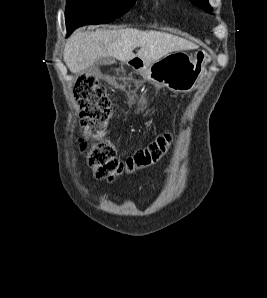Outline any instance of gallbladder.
<instances>
[{
  "mask_svg": "<svg viewBox=\"0 0 267 298\" xmlns=\"http://www.w3.org/2000/svg\"><path fill=\"white\" fill-rule=\"evenodd\" d=\"M112 62H113L112 61V58H101V59H98V60H96L94 66H91L90 68H88V71L89 72H94L96 66H98V65H108V64H111Z\"/></svg>",
  "mask_w": 267,
  "mask_h": 298,
  "instance_id": "1",
  "label": "gallbladder"
}]
</instances>
